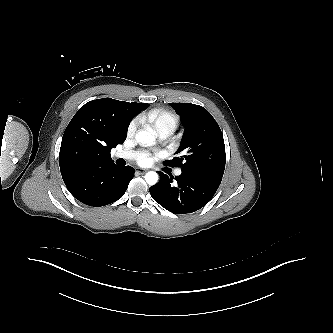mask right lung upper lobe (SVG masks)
Masks as SVG:
<instances>
[{
    "label": "right lung upper lobe",
    "instance_id": "obj_1",
    "mask_svg": "<svg viewBox=\"0 0 333 333\" xmlns=\"http://www.w3.org/2000/svg\"><path fill=\"white\" fill-rule=\"evenodd\" d=\"M149 107L111 98L82 106L68 124L60 147L59 165L66 186L85 171L114 163L110 151L122 144L135 115Z\"/></svg>",
    "mask_w": 333,
    "mask_h": 333
}]
</instances>
